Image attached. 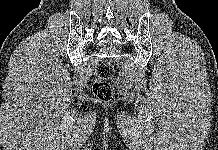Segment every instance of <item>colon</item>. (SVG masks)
Segmentation results:
<instances>
[{"label":"colon","instance_id":"colon-1","mask_svg":"<svg viewBox=\"0 0 218 150\" xmlns=\"http://www.w3.org/2000/svg\"><path fill=\"white\" fill-rule=\"evenodd\" d=\"M113 74L114 67L109 61H102L98 64L92 89L94 95L100 100L108 101L112 98L113 92L109 80Z\"/></svg>","mask_w":218,"mask_h":150}]
</instances>
